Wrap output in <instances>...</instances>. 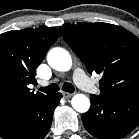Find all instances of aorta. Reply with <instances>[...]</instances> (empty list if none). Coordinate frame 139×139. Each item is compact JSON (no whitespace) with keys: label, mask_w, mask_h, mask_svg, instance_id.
I'll return each mask as SVG.
<instances>
[{"label":"aorta","mask_w":139,"mask_h":139,"mask_svg":"<svg viewBox=\"0 0 139 139\" xmlns=\"http://www.w3.org/2000/svg\"><path fill=\"white\" fill-rule=\"evenodd\" d=\"M48 64L55 70L66 72L72 66V58L63 48H53L47 55ZM72 107L80 113H85L90 108V100L83 94H76L71 100Z\"/></svg>","instance_id":"aorta-1"}]
</instances>
